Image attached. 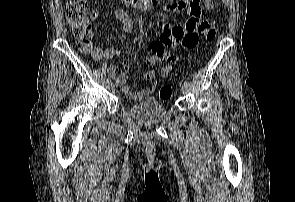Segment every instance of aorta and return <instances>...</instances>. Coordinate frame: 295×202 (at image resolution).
Segmentation results:
<instances>
[{"mask_svg": "<svg viewBox=\"0 0 295 202\" xmlns=\"http://www.w3.org/2000/svg\"><path fill=\"white\" fill-rule=\"evenodd\" d=\"M143 3V10L147 11L149 9L150 0H141Z\"/></svg>", "mask_w": 295, "mask_h": 202, "instance_id": "aorta-1", "label": "aorta"}]
</instances>
